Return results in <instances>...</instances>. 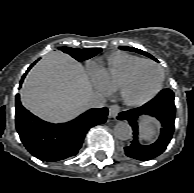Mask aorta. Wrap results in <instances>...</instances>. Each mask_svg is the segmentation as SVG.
I'll use <instances>...</instances> for the list:
<instances>
[{
    "label": "aorta",
    "instance_id": "obj_1",
    "mask_svg": "<svg viewBox=\"0 0 194 193\" xmlns=\"http://www.w3.org/2000/svg\"><path fill=\"white\" fill-rule=\"evenodd\" d=\"M115 136L119 140H128L132 137V128L126 121L118 122L114 127Z\"/></svg>",
    "mask_w": 194,
    "mask_h": 193
}]
</instances>
